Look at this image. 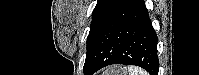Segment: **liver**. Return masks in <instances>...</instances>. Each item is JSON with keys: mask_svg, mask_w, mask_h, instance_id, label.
<instances>
[{"mask_svg": "<svg viewBox=\"0 0 199 75\" xmlns=\"http://www.w3.org/2000/svg\"><path fill=\"white\" fill-rule=\"evenodd\" d=\"M115 73H117V72H115V71H112V72H106V73H105V75H114Z\"/></svg>", "mask_w": 199, "mask_h": 75, "instance_id": "liver-1", "label": "liver"}]
</instances>
